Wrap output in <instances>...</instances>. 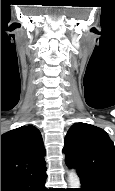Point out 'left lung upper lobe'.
I'll return each mask as SVG.
<instances>
[{"instance_id":"obj_1","label":"left lung upper lobe","mask_w":115,"mask_h":191,"mask_svg":"<svg viewBox=\"0 0 115 191\" xmlns=\"http://www.w3.org/2000/svg\"><path fill=\"white\" fill-rule=\"evenodd\" d=\"M65 161L79 177L93 178L115 188V146L101 128L75 123L65 137Z\"/></svg>"}]
</instances>
